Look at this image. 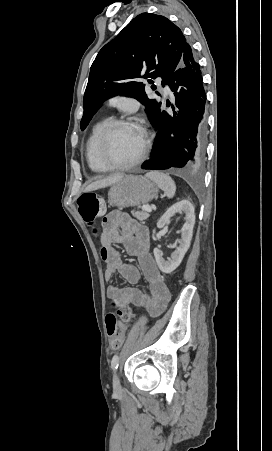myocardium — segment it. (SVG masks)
I'll use <instances>...</instances> for the list:
<instances>
[{
	"instance_id": "myocardium-1",
	"label": "myocardium",
	"mask_w": 272,
	"mask_h": 451,
	"mask_svg": "<svg viewBox=\"0 0 272 451\" xmlns=\"http://www.w3.org/2000/svg\"><path fill=\"white\" fill-rule=\"evenodd\" d=\"M115 126H131L138 130L140 134L139 140L135 143L132 154L129 160L123 164L119 165H109L106 161V151L107 144L109 140V136L111 130ZM149 140L148 133L144 127H142L138 122L132 121L130 119H110L108 120L99 135L98 143H97V156L103 172H116L123 170L125 168V164L134 162L140 154L143 152L145 148L146 141Z\"/></svg>"
}]
</instances>
